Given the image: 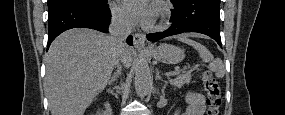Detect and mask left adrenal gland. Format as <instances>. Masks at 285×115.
Returning a JSON list of instances; mask_svg holds the SVG:
<instances>
[{
    "label": "left adrenal gland",
    "mask_w": 285,
    "mask_h": 115,
    "mask_svg": "<svg viewBox=\"0 0 285 115\" xmlns=\"http://www.w3.org/2000/svg\"><path fill=\"white\" fill-rule=\"evenodd\" d=\"M155 80H162V77L160 76L158 69H156ZM164 89H165V86H163V88H162V93L164 92Z\"/></svg>",
    "instance_id": "obj_1"
}]
</instances>
